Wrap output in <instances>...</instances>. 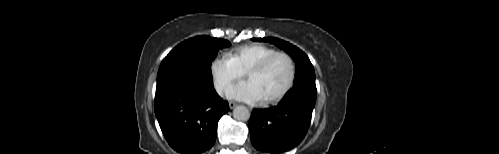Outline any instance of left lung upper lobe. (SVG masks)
Returning a JSON list of instances; mask_svg holds the SVG:
<instances>
[{
    "label": "left lung upper lobe",
    "mask_w": 499,
    "mask_h": 154,
    "mask_svg": "<svg viewBox=\"0 0 499 154\" xmlns=\"http://www.w3.org/2000/svg\"><path fill=\"white\" fill-rule=\"evenodd\" d=\"M254 40L275 44L279 48L286 51L293 58L296 66V78L294 80V85L315 83V71L313 65L311 64L308 56L299 48L289 42L274 37L257 38Z\"/></svg>",
    "instance_id": "left-lung-upper-lobe-1"
}]
</instances>
